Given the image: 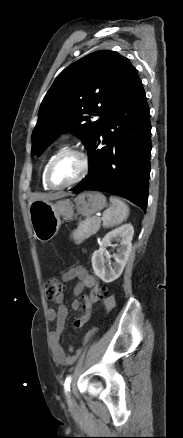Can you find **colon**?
I'll return each mask as SVG.
<instances>
[{
	"instance_id": "5ec220e1",
	"label": "colon",
	"mask_w": 183,
	"mask_h": 438,
	"mask_svg": "<svg viewBox=\"0 0 183 438\" xmlns=\"http://www.w3.org/2000/svg\"><path fill=\"white\" fill-rule=\"evenodd\" d=\"M62 292L63 284L57 278L48 279L45 285V293L49 300H54L62 295ZM106 297L107 291L99 283H96L85 301L84 309L88 310L93 303Z\"/></svg>"
}]
</instances>
